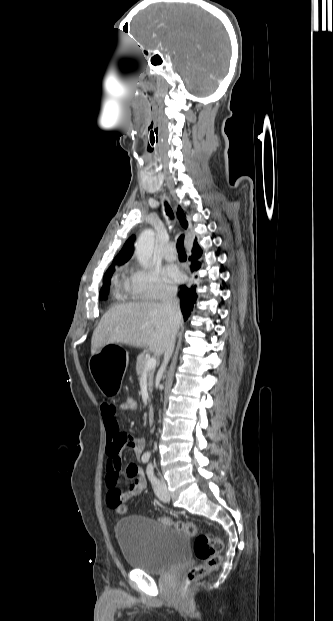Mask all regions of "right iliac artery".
Returning <instances> with one entry per match:
<instances>
[{"label": "right iliac artery", "instance_id": "obj_1", "mask_svg": "<svg viewBox=\"0 0 333 621\" xmlns=\"http://www.w3.org/2000/svg\"><path fill=\"white\" fill-rule=\"evenodd\" d=\"M150 455L148 453H144L142 456V462L147 463L149 461Z\"/></svg>", "mask_w": 333, "mask_h": 621}]
</instances>
